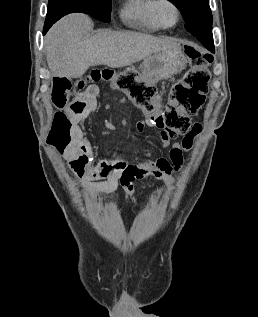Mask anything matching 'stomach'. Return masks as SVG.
<instances>
[{
    "instance_id": "obj_1",
    "label": "stomach",
    "mask_w": 258,
    "mask_h": 317,
    "mask_svg": "<svg viewBox=\"0 0 258 317\" xmlns=\"http://www.w3.org/2000/svg\"><path fill=\"white\" fill-rule=\"evenodd\" d=\"M186 62L187 58L183 46L180 44L176 48L153 52V54H149V56L143 58V72L168 78L171 74L181 72L182 68L186 66Z\"/></svg>"
}]
</instances>
